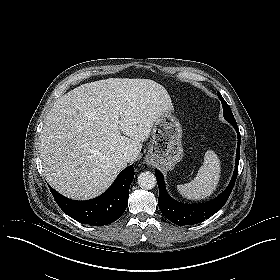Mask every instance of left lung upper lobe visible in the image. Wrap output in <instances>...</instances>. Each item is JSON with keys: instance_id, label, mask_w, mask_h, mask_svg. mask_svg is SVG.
I'll return each instance as SVG.
<instances>
[{"instance_id": "obj_1", "label": "left lung upper lobe", "mask_w": 280, "mask_h": 280, "mask_svg": "<svg viewBox=\"0 0 280 280\" xmlns=\"http://www.w3.org/2000/svg\"><path fill=\"white\" fill-rule=\"evenodd\" d=\"M218 97L222 103V107H223V113H224V118L231 124H236V120L232 114V111L230 109V106L226 103V101L223 99V97L221 96L220 93H217Z\"/></svg>"}]
</instances>
